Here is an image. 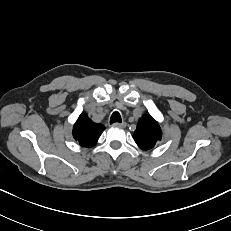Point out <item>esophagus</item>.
<instances>
[{"instance_id": "obj_1", "label": "esophagus", "mask_w": 231, "mask_h": 231, "mask_svg": "<svg viewBox=\"0 0 231 231\" xmlns=\"http://www.w3.org/2000/svg\"><path fill=\"white\" fill-rule=\"evenodd\" d=\"M113 126L119 127V128H124V127H126V123L125 122H121V123L117 122V123H114Z\"/></svg>"}]
</instances>
